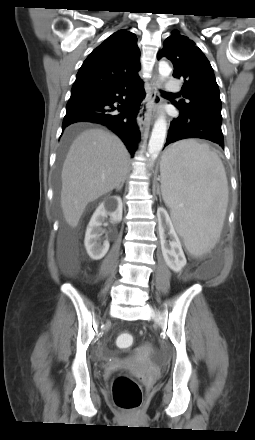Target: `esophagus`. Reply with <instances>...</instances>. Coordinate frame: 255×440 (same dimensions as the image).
<instances>
[{
	"label": "esophagus",
	"mask_w": 255,
	"mask_h": 440,
	"mask_svg": "<svg viewBox=\"0 0 255 440\" xmlns=\"http://www.w3.org/2000/svg\"><path fill=\"white\" fill-rule=\"evenodd\" d=\"M160 81L155 75L150 84V93L146 96L140 107L137 116V122L140 130L143 131L152 121L157 113L158 106L161 104V96L159 93Z\"/></svg>",
	"instance_id": "esophagus-1"
}]
</instances>
